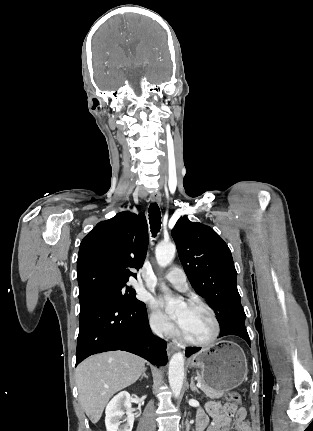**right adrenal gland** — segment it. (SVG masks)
Here are the masks:
<instances>
[{
  "instance_id": "2a0ac1e0",
  "label": "right adrenal gland",
  "mask_w": 313,
  "mask_h": 431,
  "mask_svg": "<svg viewBox=\"0 0 313 431\" xmlns=\"http://www.w3.org/2000/svg\"><path fill=\"white\" fill-rule=\"evenodd\" d=\"M146 370H147V368L144 369V371H143V373H142V375L140 377V380H142L143 378L148 379V376L146 375Z\"/></svg>"
}]
</instances>
